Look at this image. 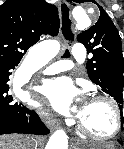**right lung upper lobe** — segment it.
<instances>
[{"instance_id":"obj_1","label":"right lung upper lobe","mask_w":124,"mask_h":149,"mask_svg":"<svg viewBox=\"0 0 124 149\" xmlns=\"http://www.w3.org/2000/svg\"><path fill=\"white\" fill-rule=\"evenodd\" d=\"M56 14L57 8L44 0H6L0 6V64L19 63Z\"/></svg>"}]
</instances>
